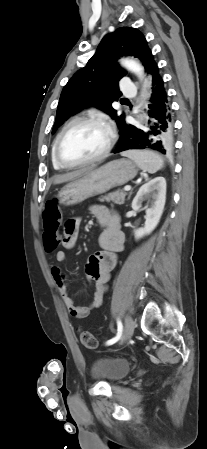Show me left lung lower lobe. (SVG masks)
Segmentation results:
<instances>
[{"mask_svg":"<svg viewBox=\"0 0 207 449\" xmlns=\"http://www.w3.org/2000/svg\"><path fill=\"white\" fill-rule=\"evenodd\" d=\"M147 72L152 92L147 111L148 122L142 128L124 123L120 128L121 136L114 153L128 149H153L166 154L172 150V110L156 62L151 64Z\"/></svg>","mask_w":207,"mask_h":449,"instance_id":"obj_1","label":"left lung lower lobe"}]
</instances>
